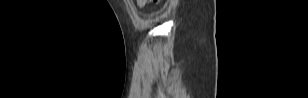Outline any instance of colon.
<instances>
[{"label":"colon","mask_w":308,"mask_h":98,"mask_svg":"<svg viewBox=\"0 0 308 98\" xmlns=\"http://www.w3.org/2000/svg\"><path fill=\"white\" fill-rule=\"evenodd\" d=\"M153 1L155 3L159 2V0H138V3L141 5H145L146 3Z\"/></svg>","instance_id":"5ec220e1"}]
</instances>
